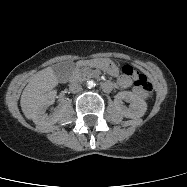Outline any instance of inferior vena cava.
Masks as SVG:
<instances>
[{
    "label": "inferior vena cava",
    "mask_w": 187,
    "mask_h": 187,
    "mask_svg": "<svg viewBox=\"0 0 187 187\" xmlns=\"http://www.w3.org/2000/svg\"><path fill=\"white\" fill-rule=\"evenodd\" d=\"M69 90L72 93H79L82 91V86L77 82H73L69 85Z\"/></svg>",
    "instance_id": "1"
}]
</instances>
